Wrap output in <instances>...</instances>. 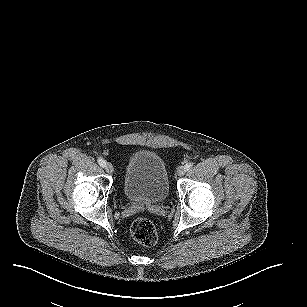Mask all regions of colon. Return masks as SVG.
<instances>
[{
  "mask_svg": "<svg viewBox=\"0 0 307 307\" xmlns=\"http://www.w3.org/2000/svg\"><path fill=\"white\" fill-rule=\"evenodd\" d=\"M132 237L144 246H153L157 243V230L154 223L146 218L136 219L131 226Z\"/></svg>",
  "mask_w": 307,
  "mask_h": 307,
  "instance_id": "5ec220e1",
  "label": "colon"
}]
</instances>
